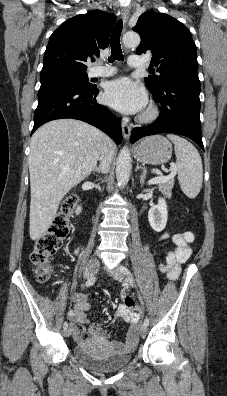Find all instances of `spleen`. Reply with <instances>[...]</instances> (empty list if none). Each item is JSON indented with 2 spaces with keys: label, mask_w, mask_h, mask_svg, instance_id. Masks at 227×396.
Instances as JSON below:
<instances>
[{
  "label": "spleen",
  "mask_w": 227,
  "mask_h": 396,
  "mask_svg": "<svg viewBox=\"0 0 227 396\" xmlns=\"http://www.w3.org/2000/svg\"><path fill=\"white\" fill-rule=\"evenodd\" d=\"M167 137L173 142L178 180L183 193L189 198H195L202 187L203 167L198 150L186 139L169 134Z\"/></svg>",
  "instance_id": "3e777b00"
}]
</instances>
